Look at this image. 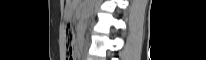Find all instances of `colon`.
<instances>
[{"label":"colon","instance_id":"colon-1","mask_svg":"<svg viewBox=\"0 0 206 60\" xmlns=\"http://www.w3.org/2000/svg\"><path fill=\"white\" fill-rule=\"evenodd\" d=\"M65 38H66V46H67L66 59L73 60L75 35L71 25H68L65 29Z\"/></svg>","mask_w":206,"mask_h":60}]
</instances>
